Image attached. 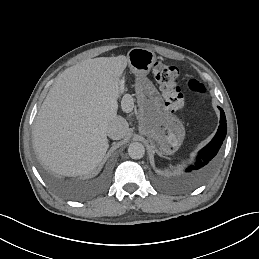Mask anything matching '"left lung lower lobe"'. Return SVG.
<instances>
[{"label": "left lung lower lobe", "instance_id": "left-lung-lower-lobe-1", "mask_svg": "<svg viewBox=\"0 0 259 259\" xmlns=\"http://www.w3.org/2000/svg\"><path fill=\"white\" fill-rule=\"evenodd\" d=\"M220 110V125L218 131L212 141L201 149L194 160V162L190 163L186 169V173H203L210 170L216 159V155L223 143V140L226 136L227 125H226V117L222 108L218 107Z\"/></svg>", "mask_w": 259, "mask_h": 259}]
</instances>
